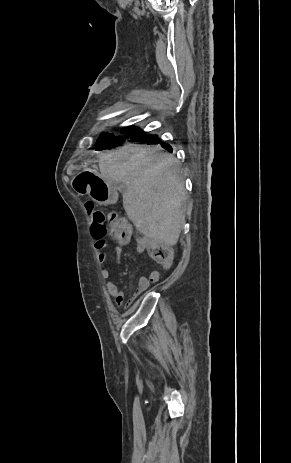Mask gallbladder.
<instances>
[{
  "mask_svg": "<svg viewBox=\"0 0 291 463\" xmlns=\"http://www.w3.org/2000/svg\"><path fill=\"white\" fill-rule=\"evenodd\" d=\"M117 188H118V190L121 191V192H124V191L126 190V186H125L124 184H122V183H119V184L117 185Z\"/></svg>",
  "mask_w": 291,
  "mask_h": 463,
  "instance_id": "gallbladder-1",
  "label": "gallbladder"
}]
</instances>
